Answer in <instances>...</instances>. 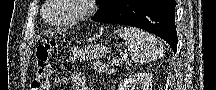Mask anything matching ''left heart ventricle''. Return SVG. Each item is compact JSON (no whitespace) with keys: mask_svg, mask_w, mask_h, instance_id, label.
Returning <instances> with one entry per match:
<instances>
[{"mask_svg":"<svg viewBox=\"0 0 216 90\" xmlns=\"http://www.w3.org/2000/svg\"><path fill=\"white\" fill-rule=\"evenodd\" d=\"M62 6V10H57V13H53V16H50L53 22L62 23L70 20L75 14V7L72 5H59Z\"/></svg>","mask_w":216,"mask_h":90,"instance_id":"left-heart-ventricle-1","label":"left heart ventricle"}]
</instances>
